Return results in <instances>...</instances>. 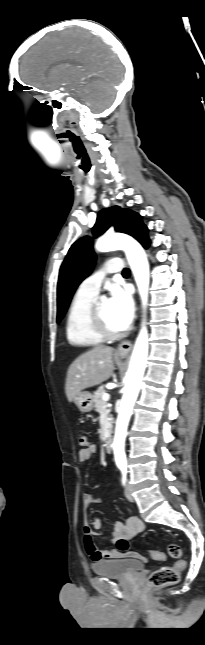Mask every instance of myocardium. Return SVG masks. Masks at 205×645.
<instances>
[{
  "label": "myocardium",
  "instance_id": "obj_1",
  "mask_svg": "<svg viewBox=\"0 0 205 645\" xmlns=\"http://www.w3.org/2000/svg\"><path fill=\"white\" fill-rule=\"evenodd\" d=\"M99 304V301H95L90 310V322L93 330L104 340L120 338L124 331H114L108 327L102 316Z\"/></svg>",
  "mask_w": 205,
  "mask_h": 645
}]
</instances>
